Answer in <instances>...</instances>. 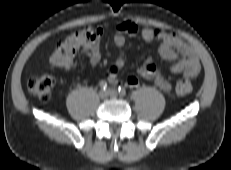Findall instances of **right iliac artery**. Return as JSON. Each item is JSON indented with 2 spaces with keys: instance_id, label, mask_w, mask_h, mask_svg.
Instances as JSON below:
<instances>
[{
  "instance_id": "obj_1",
  "label": "right iliac artery",
  "mask_w": 231,
  "mask_h": 170,
  "mask_svg": "<svg viewBox=\"0 0 231 170\" xmlns=\"http://www.w3.org/2000/svg\"><path fill=\"white\" fill-rule=\"evenodd\" d=\"M99 85H100L101 89H103V90H106L107 87H108V84H107L106 81H101V82L99 83Z\"/></svg>"
}]
</instances>
